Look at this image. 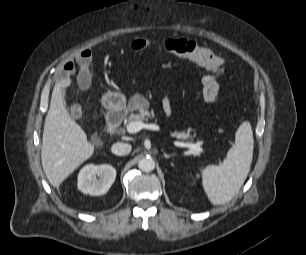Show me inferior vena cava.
Segmentation results:
<instances>
[{"instance_id": "inferior-vena-cava-1", "label": "inferior vena cava", "mask_w": 306, "mask_h": 255, "mask_svg": "<svg viewBox=\"0 0 306 255\" xmlns=\"http://www.w3.org/2000/svg\"><path fill=\"white\" fill-rule=\"evenodd\" d=\"M132 146L127 143L118 142L113 144L111 151L115 155L124 156L131 152Z\"/></svg>"}]
</instances>
